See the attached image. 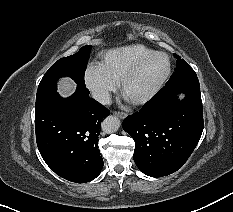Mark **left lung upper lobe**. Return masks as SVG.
Wrapping results in <instances>:
<instances>
[{
    "label": "left lung upper lobe",
    "instance_id": "obj_1",
    "mask_svg": "<svg viewBox=\"0 0 233 212\" xmlns=\"http://www.w3.org/2000/svg\"><path fill=\"white\" fill-rule=\"evenodd\" d=\"M174 56L177 58L176 69L166 84L180 77H184L192 74L196 75L194 70L183 59H181L180 56L177 55Z\"/></svg>",
    "mask_w": 233,
    "mask_h": 212
}]
</instances>
